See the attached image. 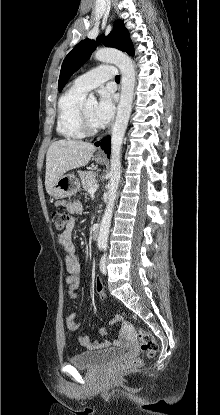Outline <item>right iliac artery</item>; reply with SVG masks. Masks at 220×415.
Listing matches in <instances>:
<instances>
[{"instance_id":"1","label":"right iliac artery","mask_w":220,"mask_h":415,"mask_svg":"<svg viewBox=\"0 0 220 415\" xmlns=\"http://www.w3.org/2000/svg\"><path fill=\"white\" fill-rule=\"evenodd\" d=\"M99 248L101 249V248H102V246H100V245H99Z\"/></svg>"}]
</instances>
